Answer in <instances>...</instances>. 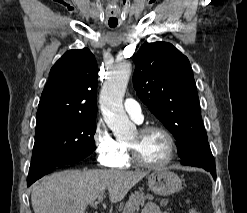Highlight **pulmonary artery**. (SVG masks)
<instances>
[{"mask_svg":"<svg viewBox=\"0 0 247 213\" xmlns=\"http://www.w3.org/2000/svg\"><path fill=\"white\" fill-rule=\"evenodd\" d=\"M125 111L137 123L142 122L143 114L140 105L132 98H128L124 102Z\"/></svg>","mask_w":247,"mask_h":213,"instance_id":"1","label":"pulmonary artery"}]
</instances>
